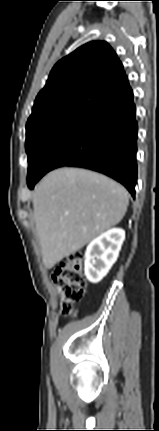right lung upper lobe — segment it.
<instances>
[{"instance_id":"obj_1","label":"right lung upper lobe","mask_w":159,"mask_h":431,"mask_svg":"<svg viewBox=\"0 0 159 431\" xmlns=\"http://www.w3.org/2000/svg\"><path fill=\"white\" fill-rule=\"evenodd\" d=\"M132 95L114 50L104 41H92L55 64L27 123L55 113L89 117Z\"/></svg>"}]
</instances>
